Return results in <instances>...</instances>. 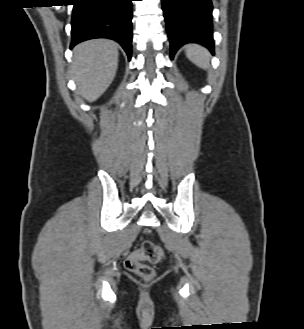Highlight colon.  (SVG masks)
Wrapping results in <instances>:
<instances>
[{"instance_id":"colon-1","label":"colon","mask_w":304,"mask_h":329,"mask_svg":"<svg viewBox=\"0 0 304 329\" xmlns=\"http://www.w3.org/2000/svg\"><path fill=\"white\" fill-rule=\"evenodd\" d=\"M163 256L164 252L161 247L151 241H144L139 249L133 251L125 259L124 264L129 271L148 281L154 277L155 272L153 267L145 264L144 261L156 264L163 259Z\"/></svg>"}]
</instances>
